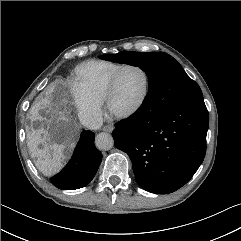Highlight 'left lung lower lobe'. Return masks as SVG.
<instances>
[{
    "instance_id": "left-lung-lower-lobe-1",
    "label": "left lung lower lobe",
    "mask_w": 241,
    "mask_h": 241,
    "mask_svg": "<svg viewBox=\"0 0 241 241\" xmlns=\"http://www.w3.org/2000/svg\"><path fill=\"white\" fill-rule=\"evenodd\" d=\"M208 123L203 97L172 102L155 87L131 117L115 124L112 136L129 155L137 183L168 194L185 185L203 162Z\"/></svg>"
}]
</instances>
